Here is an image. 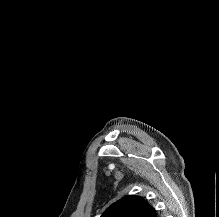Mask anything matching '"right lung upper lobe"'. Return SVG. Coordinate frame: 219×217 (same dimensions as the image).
<instances>
[{"instance_id": "cb5924a9", "label": "right lung upper lobe", "mask_w": 219, "mask_h": 217, "mask_svg": "<svg viewBox=\"0 0 219 217\" xmlns=\"http://www.w3.org/2000/svg\"><path fill=\"white\" fill-rule=\"evenodd\" d=\"M101 217H157L151 207L140 196H126L112 204Z\"/></svg>"}]
</instances>
